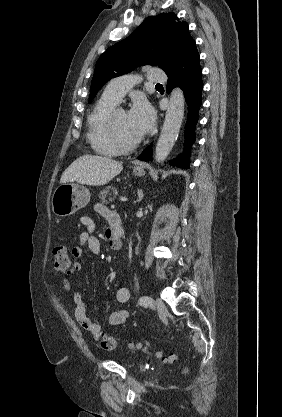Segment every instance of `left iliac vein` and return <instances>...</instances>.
Masks as SVG:
<instances>
[{
	"instance_id": "4c4485c4",
	"label": "left iliac vein",
	"mask_w": 282,
	"mask_h": 417,
	"mask_svg": "<svg viewBox=\"0 0 282 417\" xmlns=\"http://www.w3.org/2000/svg\"><path fill=\"white\" fill-rule=\"evenodd\" d=\"M155 305L160 315H165L167 313V307L161 299H156Z\"/></svg>"
}]
</instances>
